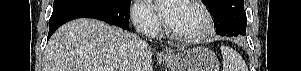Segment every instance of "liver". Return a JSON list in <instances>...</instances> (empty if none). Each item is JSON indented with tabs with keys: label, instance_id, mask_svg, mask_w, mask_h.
Segmentation results:
<instances>
[{
	"label": "liver",
	"instance_id": "6515ba94",
	"mask_svg": "<svg viewBox=\"0 0 301 71\" xmlns=\"http://www.w3.org/2000/svg\"><path fill=\"white\" fill-rule=\"evenodd\" d=\"M152 58L151 47L135 34L81 18L52 35L43 71H153Z\"/></svg>",
	"mask_w": 301,
	"mask_h": 71
}]
</instances>
